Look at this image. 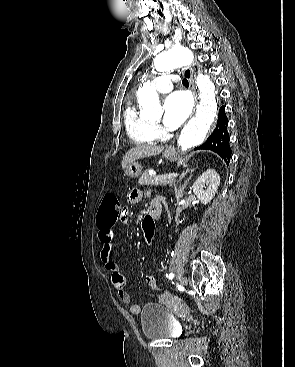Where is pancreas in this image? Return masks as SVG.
Here are the masks:
<instances>
[{
  "label": "pancreas",
  "mask_w": 295,
  "mask_h": 367,
  "mask_svg": "<svg viewBox=\"0 0 295 367\" xmlns=\"http://www.w3.org/2000/svg\"><path fill=\"white\" fill-rule=\"evenodd\" d=\"M169 176V175H168ZM156 175H152V174H148V173H143L140 178L138 183L140 185H173L177 183V180H175V176L173 174H171L170 177L167 178H162V179H156Z\"/></svg>",
  "instance_id": "obj_1"
}]
</instances>
